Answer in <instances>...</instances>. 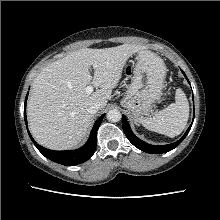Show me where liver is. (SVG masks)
<instances>
[{
    "mask_svg": "<svg viewBox=\"0 0 220 220\" xmlns=\"http://www.w3.org/2000/svg\"><path fill=\"white\" fill-rule=\"evenodd\" d=\"M143 49L135 44L83 48L46 66L34 79L27 102L29 127L35 140L54 150L77 145L93 120L88 108L95 103L105 108L126 61ZM88 85L96 87L91 94L86 93Z\"/></svg>",
    "mask_w": 220,
    "mask_h": 220,
    "instance_id": "6515ba94",
    "label": "liver"
}]
</instances>
